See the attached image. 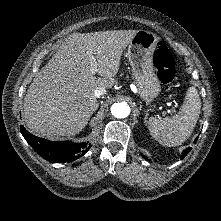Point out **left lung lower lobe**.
I'll use <instances>...</instances> for the list:
<instances>
[{
    "label": "left lung lower lobe",
    "instance_id": "left-lung-lower-lobe-1",
    "mask_svg": "<svg viewBox=\"0 0 221 221\" xmlns=\"http://www.w3.org/2000/svg\"><path fill=\"white\" fill-rule=\"evenodd\" d=\"M197 141V138H196V140L194 141V143ZM191 150V148L189 147V148H187V149H185L183 152H182V155H181V158H184L188 153H189V151ZM144 158H145V156H143Z\"/></svg>",
    "mask_w": 221,
    "mask_h": 221
}]
</instances>
